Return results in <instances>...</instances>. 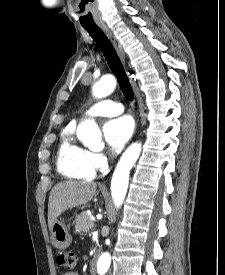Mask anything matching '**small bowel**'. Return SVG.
Masks as SVG:
<instances>
[{
	"label": "small bowel",
	"instance_id": "small-bowel-1",
	"mask_svg": "<svg viewBox=\"0 0 225 275\" xmlns=\"http://www.w3.org/2000/svg\"><path fill=\"white\" fill-rule=\"evenodd\" d=\"M63 275H79L77 272H65Z\"/></svg>",
	"mask_w": 225,
	"mask_h": 275
}]
</instances>
